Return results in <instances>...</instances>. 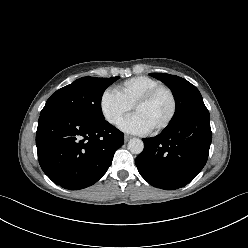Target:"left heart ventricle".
<instances>
[{"label":"left heart ventricle","mask_w":248,"mask_h":248,"mask_svg":"<svg viewBox=\"0 0 248 248\" xmlns=\"http://www.w3.org/2000/svg\"><path fill=\"white\" fill-rule=\"evenodd\" d=\"M170 111V97L166 92H161L149 103L136 108L134 113L143 119L150 130H153L166 120Z\"/></svg>","instance_id":"left-heart-ventricle-1"}]
</instances>
